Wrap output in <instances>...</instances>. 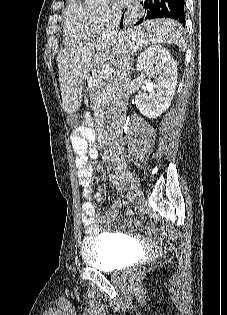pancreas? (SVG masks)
<instances>
[{"mask_svg": "<svg viewBox=\"0 0 227 315\" xmlns=\"http://www.w3.org/2000/svg\"><path fill=\"white\" fill-rule=\"evenodd\" d=\"M97 79L96 76H92L89 80V96L90 102L93 107H97L101 110L102 114L104 115V120L108 122L110 118V110H111V103L113 98V91L110 95L103 97L101 94L103 92V88L101 85H95L94 80Z\"/></svg>", "mask_w": 227, "mask_h": 315, "instance_id": "cf45deb5", "label": "pancreas"}]
</instances>
